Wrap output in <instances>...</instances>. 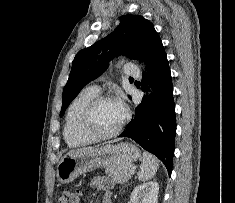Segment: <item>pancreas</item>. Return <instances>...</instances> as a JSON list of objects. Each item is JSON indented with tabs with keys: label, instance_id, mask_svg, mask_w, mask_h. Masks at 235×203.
Here are the masks:
<instances>
[{
	"label": "pancreas",
	"instance_id": "1",
	"mask_svg": "<svg viewBox=\"0 0 235 203\" xmlns=\"http://www.w3.org/2000/svg\"><path fill=\"white\" fill-rule=\"evenodd\" d=\"M132 164L107 168L105 173L112 178L115 183H125L131 178Z\"/></svg>",
	"mask_w": 235,
	"mask_h": 203
}]
</instances>
